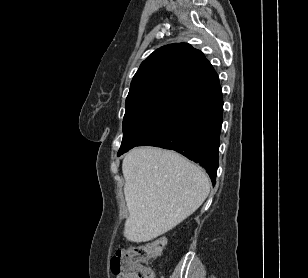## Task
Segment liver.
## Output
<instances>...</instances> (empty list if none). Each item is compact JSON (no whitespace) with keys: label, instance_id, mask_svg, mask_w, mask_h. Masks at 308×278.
I'll use <instances>...</instances> for the list:
<instances>
[{"label":"liver","instance_id":"obj_1","mask_svg":"<svg viewBox=\"0 0 308 278\" xmlns=\"http://www.w3.org/2000/svg\"><path fill=\"white\" fill-rule=\"evenodd\" d=\"M124 195L129 211L124 236L150 241L193 214L210 192L207 174L172 150L142 146L122 162Z\"/></svg>","mask_w":308,"mask_h":278}]
</instances>
